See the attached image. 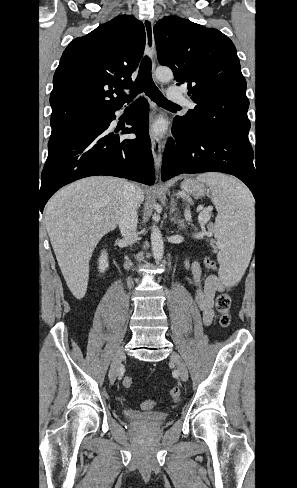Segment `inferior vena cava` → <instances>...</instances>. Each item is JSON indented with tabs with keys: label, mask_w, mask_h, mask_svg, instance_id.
I'll return each mask as SVG.
<instances>
[{
	"label": "inferior vena cava",
	"mask_w": 297,
	"mask_h": 488,
	"mask_svg": "<svg viewBox=\"0 0 297 488\" xmlns=\"http://www.w3.org/2000/svg\"><path fill=\"white\" fill-rule=\"evenodd\" d=\"M139 204L135 186L126 183L122 192L121 207L118 219L120 232L128 244H133L137 240V207Z\"/></svg>",
	"instance_id": "inferior-vena-cava-1"
}]
</instances>
